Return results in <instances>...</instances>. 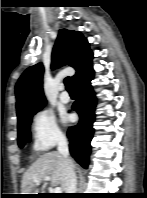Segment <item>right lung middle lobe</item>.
Instances as JSON below:
<instances>
[{"mask_svg":"<svg viewBox=\"0 0 147 198\" xmlns=\"http://www.w3.org/2000/svg\"><path fill=\"white\" fill-rule=\"evenodd\" d=\"M39 111V110H38ZM34 112L28 115L20 122H18V145L20 148L24 147L25 144L30 142V124L32 117L38 112Z\"/></svg>","mask_w":147,"mask_h":198,"instance_id":"dd1d6c3e","label":"right lung middle lobe"}]
</instances>
